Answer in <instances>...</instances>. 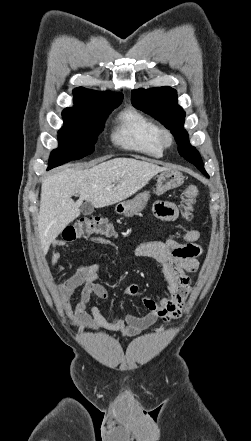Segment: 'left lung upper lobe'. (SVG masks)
Returning <instances> with one entry per match:
<instances>
[{"mask_svg":"<svg viewBox=\"0 0 251 441\" xmlns=\"http://www.w3.org/2000/svg\"><path fill=\"white\" fill-rule=\"evenodd\" d=\"M131 101L137 109L155 117L170 129L177 142L179 154L209 177L200 154L190 145L188 133L184 130L185 112L177 104L176 90L168 86L137 89L132 91Z\"/></svg>","mask_w":251,"mask_h":441,"instance_id":"left-lung-upper-lobe-1","label":"left lung upper lobe"}]
</instances>
